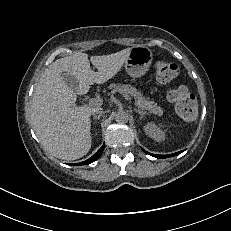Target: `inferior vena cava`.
Segmentation results:
<instances>
[{
    "mask_svg": "<svg viewBox=\"0 0 231 231\" xmlns=\"http://www.w3.org/2000/svg\"><path fill=\"white\" fill-rule=\"evenodd\" d=\"M102 113H104V111H102L101 109L93 110V112H92L93 115L102 114Z\"/></svg>",
    "mask_w": 231,
    "mask_h": 231,
    "instance_id": "inferior-vena-cava-1",
    "label": "inferior vena cava"
}]
</instances>
